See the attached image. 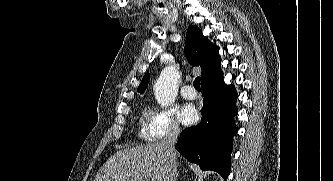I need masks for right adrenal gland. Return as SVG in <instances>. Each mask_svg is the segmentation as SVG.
Returning <instances> with one entry per match:
<instances>
[{
    "label": "right adrenal gland",
    "mask_w": 333,
    "mask_h": 181,
    "mask_svg": "<svg viewBox=\"0 0 333 181\" xmlns=\"http://www.w3.org/2000/svg\"><path fill=\"white\" fill-rule=\"evenodd\" d=\"M178 180V172L176 173V177L174 179V181H177Z\"/></svg>",
    "instance_id": "right-adrenal-gland-1"
}]
</instances>
